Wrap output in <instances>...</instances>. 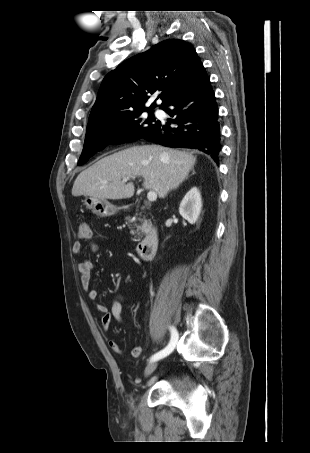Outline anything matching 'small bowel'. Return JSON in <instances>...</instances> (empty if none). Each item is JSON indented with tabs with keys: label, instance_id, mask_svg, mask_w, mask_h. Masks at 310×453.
Returning <instances> with one entry per match:
<instances>
[{
	"label": "small bowel",
	"instance_id": "small-bowel-1",
	"mask_svg": "<svg viewBox=\"0 0 310 453\" xmlns=\"http://www.w3.org/2000/svg\"><path fill=\"white\" fill-rule=\"evenodd\" d=\"M72 251L75 255H80L82 253V244L79 241H76L72 246ZM92 267V261H90L89 259H83L78 264V273L80 276V284L87 293L88 298L91 300H96L98 298V291L90 285ZM123 301L124 297L121 294H116L112 299L110 310L103 303L96 304L97 311L101 313V325L104 330H108L113 321H116L118 323L123 322ZM108 345L113 352H122L121 347L117 342L109 341ZM141 353L142 348L140 346L134 347L131 351V355L136 358L139 357Z\"/></svg>",
	"mask_w": 310,
	"mask_h": 453
}]
</instances>
